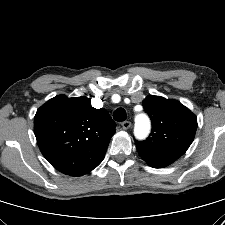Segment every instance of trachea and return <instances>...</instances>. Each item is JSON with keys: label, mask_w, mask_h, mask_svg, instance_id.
I'll use <instances>...</instances> for the list:
<instances>
[{"label": "trachea", "mask_w": 225, "mask_h": 225, "mask_svg": "<svg viewBox=\"0 0 225 225\" xmlns=\"http://www.w3.org/2000/svg\"><path fill=\"white\" fill-rule=\"evenodd\" d=\"M126 111L123 108H118L113 113V119L118 122L126 120Z\"/></svg>", "instance_id": "obj_1"}]
</instances>
